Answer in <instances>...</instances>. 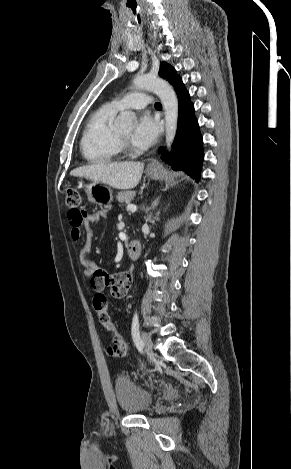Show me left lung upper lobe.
I'll list each match as a JSON object with an SVG mask.
<instances>
[{"label":"left lung upper lobe","instance_id":"5c2ea615","mask_svg":"<svg viewBox=\"0 0 291 469\" xmlns=\"http://www.w3.org/2000/svg\"><path fill=\"white\" fill-rule=\"evenodd\" d=\"M159 75L163 79H166L170 84H173L179 78L175 69L166 62H162L160 64Z\"/></svg>","mask_w":291,"mask_h":469}]
</instances>
